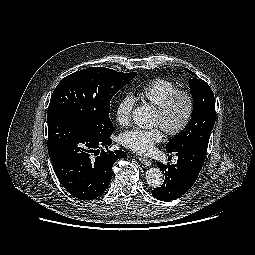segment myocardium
I'll return each instance as SVG.
<instances>
[{"label": "myocardium", "mask_w": 255, "mask_h": 255, "mask_svg": "<svg viewBox=\"0 0 255 255\" xmlns=\"http://www.w3.org/2000/svg\"><path fill=\"white\" fill-rule=\"evenodd\" d=\"M179 98L185 99L187 103V109L182 120L176 125H171L168 122L169 115L175 102ZM194 111L195 98L193 94L186 89H176L169 96H167L160 105L157 106V112L161 117V126L169 136H178L182 134L190 125Z\"/></svg>", "instance_id": "1"}]
</instances>
